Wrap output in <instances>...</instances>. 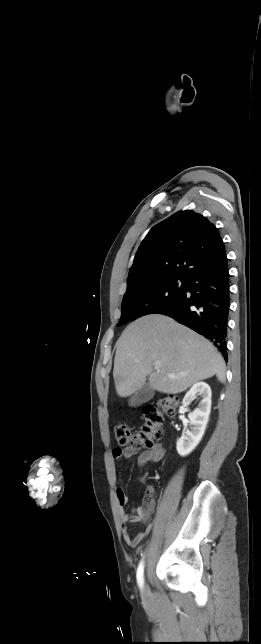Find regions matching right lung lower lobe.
Listing matches in <instances>:
<instances>
[{"instance_id": "obj_1", "label": "right lung lower lobe", "mask_w": 261, "mask_h": 644, "mask_svg": "<svg viewBox=\"0 0 261 644\" xmlns=\"http://www.w3.org/2000/svg\"><path fill=\"white\" fill-rule=\"evenodd\" d=\"M227 258L201 268L185 279V292L174 304L158 311L205 336L225 356L230 307Z\"/></svg>"}]
</instances>
